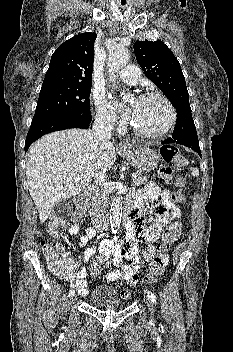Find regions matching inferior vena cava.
I'll return each instance as SVG.
<instances>
[{
	"label": "inferior vena cava",
	"instance_id": "inferior-vena-cava-1",
	"mask_svg": "<svg viewBox=\"0 0 233 352\" xmlns=\"http://www.w3.org/2000/svg\"><path fill=\"white\" fill-rule=\"evenodd\" d=\"M113 129L112 119L105 114H98L92 126V134L97 143L109 142L111 139V131ZM96 197L99 203V213L96 220L97 223L105 219L106 208L108 205L109 187L105 179V172L101 171L96 175Z\"/></svg>",
	"mask_w": 233,
	"mask_h": 352
}]
</instances>
